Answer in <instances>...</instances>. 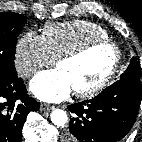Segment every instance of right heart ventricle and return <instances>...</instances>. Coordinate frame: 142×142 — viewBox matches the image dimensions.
<instances>
[{
	"mask_svg": "<svg viewBox=\"0 0 142 142\" xmlns=\"http://www.w3.org/2000/svg\"><path fill=\"white\" fill-rule=\"evenodd\" d=\"M41 37L47 50L56 60L62 54L89 41L108 39V33L96 23L86 20H73L46 24Z\"/></svg>",
	"mask_w": 142,
	"mask_h": 142,
	"instance_id": "e07e8e85",
	"label": "right heart ventricle"
}]
</instances>
